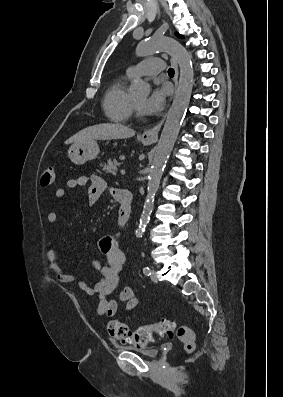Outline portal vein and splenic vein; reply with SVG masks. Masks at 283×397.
<instances>
[{
    "label": "portal vein and splenic vein",
    "mask_w": 283,
    "mask_h": 397,
    "mask_svg": "<svg viewBox=\"0 0 283 397\" xmlns=\"http://www.w3.org/2000/svg\"><path fill=\"white\" fill-rule=\"evenodd\" d=\"M120 173H121L122 175H125V174H126L125 170H121Z\"/></svg>",
    "instance_id": "1"
}]
</instances>
